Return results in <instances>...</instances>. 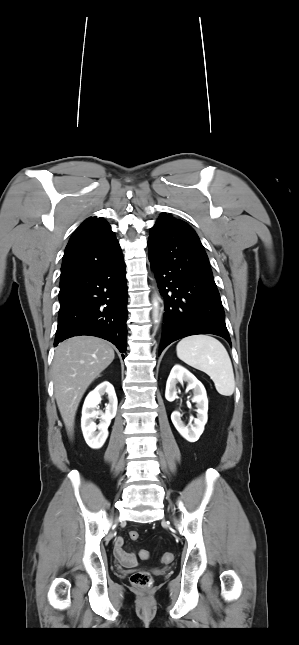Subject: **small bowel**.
I'll list each match as a JSON object with an SVG mask.
<instances>
[{
    "instance_id": "obj_1",
    "label": "small bowel",
    "mask_w": 299,
    "mask_h": 645,
    "mask_svg": "<svg viewBox=\"0 0 299 645\" xmlns=\"http://www.w3.org/2000/svg\"><path fill=\"white\" fill-rule=\"evenodd\" d=\"M114 556L123 566L133 567L137 564L136 555L125 549V539L121 536L115 540Z\"/></svg>"
}]
</instances>
